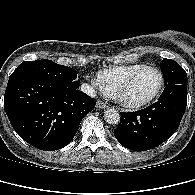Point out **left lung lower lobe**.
<instances>
[{
    "instance_id": "left-lung-lower-lobe-1",
    "label": "left lung lower lobe",
    "mask_w": 195,
    "mask_h": 195,
    "mask_svg": "<svg viewBox=\"0 0 195 195\" xmlns=\"http://www.w3.org/2000/svg\"><path fill=\"white\" fill-rule=\"evenodd\" d=\"M187 105V84L165 87L157 102L136 112H121L115 138L133 151H146L166 141L179 127Z\"/></svg>"
}]
</instances>
